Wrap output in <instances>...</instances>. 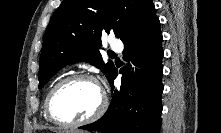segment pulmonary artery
<instances>
[{"label":"pulmonary artery","mask_w":221,"mask_h":133,"mask_svg":"<svg viewBox=\"0 0 221 133\" xmlns=\"http://www.w3.org/2000/svg\"><path fill=\"white\" fill-rule=\"evenodd\" d=\"M110 48L113 51L120 52L123 49V44L120 41L114 40V41L111 42Z\"/></svg>","instance_id":"pulmonary-artery-1"}]
</instances>
